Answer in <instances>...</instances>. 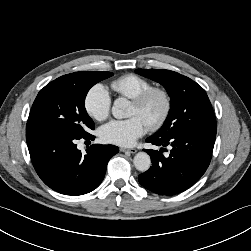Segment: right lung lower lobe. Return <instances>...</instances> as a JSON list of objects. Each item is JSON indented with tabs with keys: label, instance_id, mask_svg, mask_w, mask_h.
<instances>
[{
	"label": "right lung lower lobe",
	"instance_id": "obj_1",
	"mask_svg": "<svg viewBox=\"0 0 251 251\" xmlns=\"http://www.w3.org/2000/svg\"><path fill=\"white\" fill-rule=\"evenodd\" d=\"M93 135L83 139H94ZM81 138L49 128L26 125V141L33 166L41 180L65 195H83L102 182L108 161L118 153L114 145L93 144L82 154Z\"/></svg>",
	"mask_w": 251,
	"mask_h": 251
}]
</instances>
